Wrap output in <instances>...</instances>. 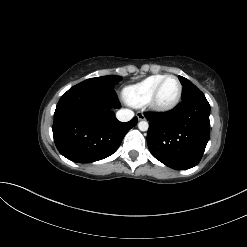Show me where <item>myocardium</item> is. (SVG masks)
<instances>
[{
  "mask_svg": "<svg viewBox=\"0 0 247 247\" xmlns=\"http://www.w3.org/2000/svg\"><path fill=\"white\" fill-rule=\"evenodd\" d=\"M169 78H173L177 81L178 93L172 102H170L168 104H162L159 102V93H160V90H161L163 84ZM182 92H183V86H182V83L179 80V78L175 75H166L156 86L148 104H149L151 109H153L154 111H157V112L164 113V112L171 111L179 104L181 97H182Z\"/></svg>",
  "mask_w": 247,
  "mask_h": 247,
  "instance_id": "myocardium-1",
  "label": "myocardium"
}]
</instances>
